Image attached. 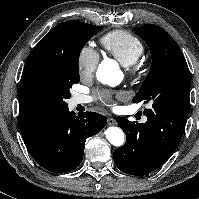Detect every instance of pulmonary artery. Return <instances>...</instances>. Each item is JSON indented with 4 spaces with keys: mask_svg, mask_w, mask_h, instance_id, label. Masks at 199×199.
Wrapping results in <instances>:
<instances>
[{
    "mask_svg": "<svg viewBox=\"0 0 199 199\" xmlns=\"http://www.w3.org/2000/svg\"><path fill=\"white\" fill-rule=\"evenodd\" d=\"M91 101V98L89 96H85V95H74L71 98L70 101V107H75L77 105H81V104H86L89 103ZM143 121H146V117L143 118Z\"/></svg>",
    "mask_w": 199,
    "mask_h": 199,
    "instance_id": "obj_1",
    "label": "pulmonary artery"
}]
</instances>
